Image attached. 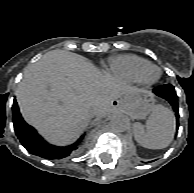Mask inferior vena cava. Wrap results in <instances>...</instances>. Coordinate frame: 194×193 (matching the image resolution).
Wrapping results in <instances>:
<instances>
[{"instance_id":"1","label":"inferior vena cava","mask_w":194,"mask_h":193,"mask_svg":"<svg viewBox=\"0 0 194 193\" xmlns=\"http://www.w3.org/2000/svg\"><path fill=\"white\" fill-rule=\"evenodd\" d=\"M89 109H90L89 110V113H90L89 116H90V118L93 119V120L96 119L97 116H98L97 115V113H98V110H97L98 107H97V105L96 104H91L90 107H89Z\"/></svg>"}]
</instances>
